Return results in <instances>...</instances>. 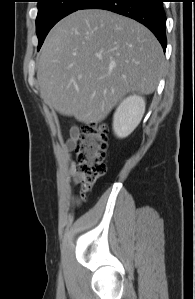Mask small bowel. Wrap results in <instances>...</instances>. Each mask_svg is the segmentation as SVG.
<instances>
[{
  "instance_id": "small-bowel-1",
  "label": "small bowel",
  "mask_w": 195,
  "mask_h": 299,
  "mask_svg": "<svg viewBox=\"0 0 195 299\" xmlns=\"http://www.w3.org/2000/svg\"><path fill=\"white\" fill-rule=\"evenodd\" d=\"M78 133H79V130L76 127L71 128L70 129V137L66 141V144H65V147L67 149V160H68L70 166H73V164H74L70 152L76 145Z\"/></svg>"
}]
</instances>
